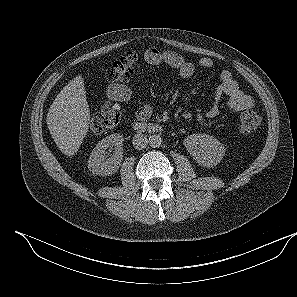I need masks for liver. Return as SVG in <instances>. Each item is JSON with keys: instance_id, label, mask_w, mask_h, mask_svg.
<instances>
[{"instance_id": "6515ba94", "label": "liver", "mask_w": 297, "mask_h": 297, "mask_svg": "<svg viewBox=\"0 0 297 297\" xmlns=\"http://www.w3.org/2000/svg\"><path fill=\"white\" fill-rule=\"evenodd\" d=\"M90 110L82 76L71 80L57 95L47 113L50 134L62 153L73 156L85 138Z\"/></svg>"}]
</instances>
